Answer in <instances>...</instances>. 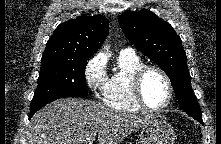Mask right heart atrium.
<instances>
[{
	"label": "right heart atrium",
	"mask_w": 221,
	"mask_h": 144,
	"mask_svg": "<svg viewBox=\"0 0 221 144\" xmlns=\"http://www.w3.org/2000/svg\"><path fill=\"white\" fill-rule=\"evenodd\" d=\"M84 78L89 89L100 99H105L108 92L109 77L103 56L92 57L84 70Z\"/></svg>",
	"instance_id": "right-heart-atrium-1"
}]
</instances>
